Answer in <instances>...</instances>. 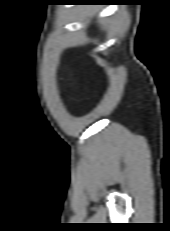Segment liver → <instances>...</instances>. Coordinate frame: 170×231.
<instances>
[{
	"mask_svg": "<svg viewBox=\"0 0 170 231\" xmlns=\"http://www.w3.org/2000/svg\"><path fill=\"white\" fill-rule=\"evenodd\" d=\"M81 10H88L87 8H81Z\"/></svg>",
	"mask_w": 170,
	"mask_h": 231,
	"instance_id": "1",
	"label": "liver"
}]
</instances>
